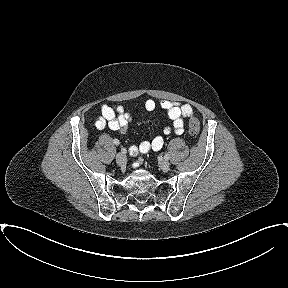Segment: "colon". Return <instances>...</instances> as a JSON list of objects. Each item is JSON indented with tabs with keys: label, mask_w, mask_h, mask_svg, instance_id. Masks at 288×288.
<instances>
[{
	"label": "colon",
	"mask_w": 288,
	"mask_h": 288,
	"mask_svg": "<svg viewBox=\"0 0 288 288\" xmlns=\"http://www.w3.org/2000/svg\"><path fill=\"white\" fill-rule=\"evenodd\" d=\"M188 130H189L190 135L193 137H197L199 135L200 123H199V120L197 118L192 117L189 120Z\"/></svg>",
	"instance_id": "1"
}]
</instances>
